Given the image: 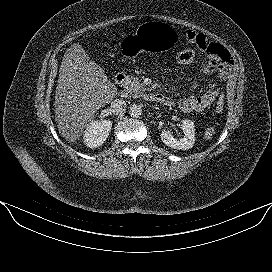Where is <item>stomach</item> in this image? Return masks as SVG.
<instances>
[{
    "label": "stomach",
    "instance_id": "0dacf381",
    "mask_svg": "<svg viewBox=\"0 0 272 272\" xmlns=\"http://www.w3.org/2000/svg\"><path fill=\"white\" fill-rule=\"evenodd\" d=\"M178 40L174 26L161 21L140 24L121 45L125 57L135 58L142 52L154 53L172 48Z\"/></svg>",
    "mask_w": 272,
    "mask_h": 272
}]
</instances>
